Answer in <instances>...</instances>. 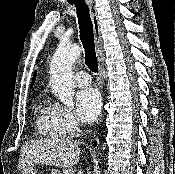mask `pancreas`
<instances>
[{
  "label": "pancreas",
  "instance_id": "pancreas-1",
  "mask_svg": "<svg viewBox=\"0 0 175 174\" xmlns=\"http://www.w3.org/2000/svg\"><path fill=\"white\" fill-rule=\"evenodd\" d=\"M51 174H53V171L51 172ZM64 174H74V170L72 168L65 169Z\"/></svg>",
  "mask_w": 175,
  "mask_h": 174
}]
</instances>
